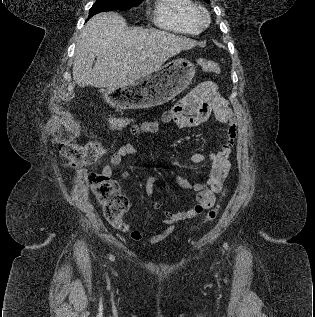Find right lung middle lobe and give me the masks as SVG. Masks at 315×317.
I'll return each mask as SVG.
<instances>
[{"instance_id":"right-lung-middle-lobe-1","label":"right lung middle lobe","mask_w":315,"mask_h":317,"mask_svg":"<svg viewBox=\"0 0 315 317\" xmlns=\"http://www.w3.org/2000/svg\"><path fill=\"white\" fill-rule=\"evenodd\" d=\"M143 0H96L89 10V17L103 11L129 10L138 6Z\"/></svg>"}]
</instances>
